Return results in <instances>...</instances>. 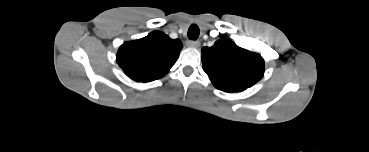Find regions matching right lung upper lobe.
<instances>
[{
    "label": "right lung upper lobe",
    "mask_w": 369,
    "mask_h": 152,
    "mask_svg": "<svg viewBox=\"0 0 369 152\" xmlns=\"http://www.w3.org/2000/svg\"><path fill=\"white\" fill-rule=\"evenodd\" d=\"M182 42L160 31L142 39L125 42L117 53V63L125 74L138 82H150L166 74L175 64Z\"/></svg>",
    "instance_id": "obj_1"
}]
</instances>
